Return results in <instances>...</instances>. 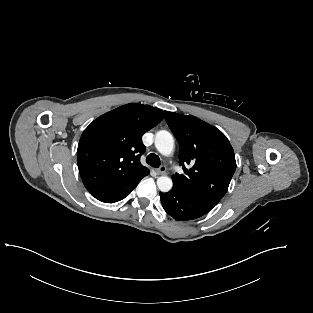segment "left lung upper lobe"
<instances>
[{
    "instance_id": "obj_1",
    "label": "left lung upper lobe",
    "mask_w": 313,
    "mask_h": 313,
    "mask_svg": "<svg viewBox=\"0 0 313 313\" xmlns=\"http://www.w3.org/2000/svg\"><path fill=\"white\" fill-rule=\"evenodd\" d=\"M166 122L179 143L184 175L172 176L173 186L214 204L227 192L236 169L233 148L216 127L196 118L165 111ZM191 168L186 169L185 165Z\"/></svg>"
}]
</instances>
